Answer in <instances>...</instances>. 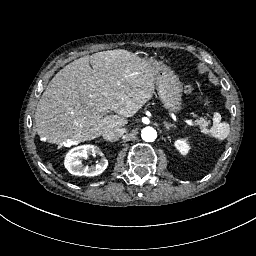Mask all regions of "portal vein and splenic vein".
<instances>
[{
	"mask_svg": "<svg viewBox=\"0 0 256 256\" xmlns=\"http://www.w3.org/2000/svg\"><path fill=\"white\" fill-rule=\"evenodd\" d=\"M183 124L184 125H188L189 127H192L193 126V123L191 121H188L187 119H184L183 120Z\"/></svg>",
	"mask_w": 256,
	"mask_h": 256,
	"instance_id": "1",
	"label": "portal vein and splenic vein"
}]
</instances>
